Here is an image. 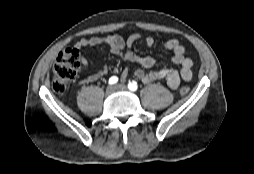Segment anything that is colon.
<instances>
[{
	"label": "colon",
	"instance_id": "5ec220e1",
	"mask_svg": "<svg viewBox=\"0 0 254 174\" xmlns=\"http://www.w3.org/2000/svg\"><path fill=\"white\" fill-rule=\"evenodd\" d=\"M79 67L80 54L78 49L68 48L60 52L53 67V90L57 93L63 92L76 78ZM180 93L182 95L188 94L189 88L181 87Z\"/></svg>",
	"mask_w": 254,
	"mask_h": 174
}]
</instances>
